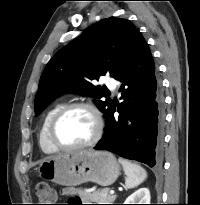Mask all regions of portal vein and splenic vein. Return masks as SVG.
<instances>
[{
    "instance_id": "portal-vein-and-splenic-vein-1",
    "label": "portal vein and splenic vein",
    "mask_w": 200,
    "mask_h": 205,
    "mask_svg": "<svg viewBox=\"0 0 200 205\" xmlns=\"http://www.w3.org/2000/svg\"><path fill=\"white\" fill-rule=\"evenodd\" d=\"M115 193V191L114 190H110V194H114Z\"/></svg>"
}]
</instances>
